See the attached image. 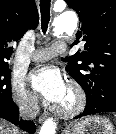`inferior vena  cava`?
<instances>
[{"mask_svg": "<svg viewBox=\"0 0 116 134\" xmlns=\"http://www.w3.org/2000/svg\"><path fill=\"white\" fill-rule=\"evenodd\" d=\"M39 113L38 99L30 98L26 103L20 106V116L23 119H35Z\"/></svg>", "mask_w": 116, "mask_h": 134, "instance_id": "inferior-vena-cava-1", "label": "inferior vena cava"}]
</instances>
